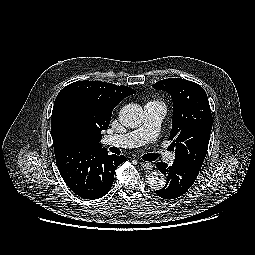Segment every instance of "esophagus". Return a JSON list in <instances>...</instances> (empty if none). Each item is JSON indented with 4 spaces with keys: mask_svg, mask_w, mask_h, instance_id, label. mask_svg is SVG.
Wrapping results in <instances>:
<instances>
[{
    "mask_svg": "<svg viewBox=\"0 0 255 255\" xmlns=\"http://www.w3.org/2000/svg\"><path fill=\"white\" fill-rule=\"evenodd\" d=\"M140 165L145 169V170H152L153 169V164L149 162H140Z\"/></svg>",
    "mask_w": 255,
    "mask_h": 255,
    "instance_id": "obj_1",
    "label": "esophagus"
}]
</instances>
